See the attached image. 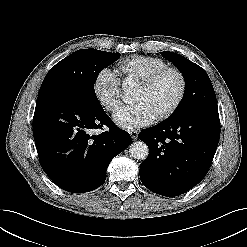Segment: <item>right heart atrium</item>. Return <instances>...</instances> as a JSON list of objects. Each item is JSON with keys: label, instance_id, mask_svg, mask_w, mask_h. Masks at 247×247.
Listing matches in <instances>:
<instances>
[{"label": "right heart atrium", "instance_id": "obj_1", "mask_svg": "<svg viewBox=\"0 0 247 247\" xmlns=\"http://www.w3.org/2000/svg\"><path fill=\"white\" fill-rule=\"evenodd\" d=\"M93 92L98 102L107 111H114L121 104L119 79L107 68L97 73L93 82Z\"/></svg>", "mask_w": 247, "mask_h": 247}]
</instances>
